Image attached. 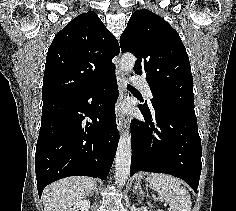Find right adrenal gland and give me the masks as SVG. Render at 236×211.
<instances>
[{"label": "right adrenal gland", "instance_id": "2a0ac1e0", "mask_svg": "<svg viewBox=\"0 0 236 211\" xmlns=\"http://www.w3.org/2000/svg\"><path fill=\"white\" fill-rule=\"evenodd\" d=\"M96 192H97V184L95 183V184H94V189H93V191L90 193V196L94 195V193H96Z\"/></svg>", "mask_w": 236, "mask_h": 211}]
</instances>
